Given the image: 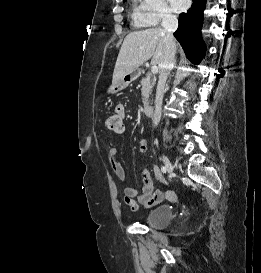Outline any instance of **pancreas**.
Segmentation results:
<instances>
[{
    "mask_svg": "<svg viewBox=\"0 0 261 273\" xmlns=\"http://www.w3.org/2000/svg\"><path fill=\"white\" fill-rule=\"evenodd\" d=\"M155 76L152 73H146V76L141 79V93H142V101L144 105L149 103V95L152 92V89L155 85Z\"/></svg>",
    "mask_w": 261,
    "mask_h": 273,
    "instance_id": "1",
    "label": "pancreas"
}]
</instances>
